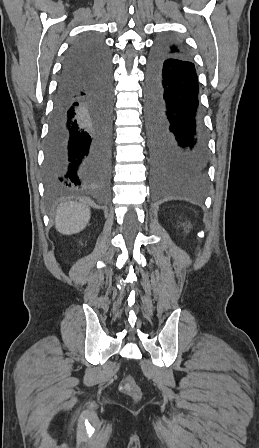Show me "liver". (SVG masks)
I'll return each mask as SVG.
<instances>
[{
  "label": "liver",
  "mask_w": 259,
  "mask_h": 448,
  "mask_svg": "<svg viewBox=\"0 0 259 448\" xmlns=\"http://www.w3.org/2000/svg\"><path fill=\"white\" fill-rule=\"evenodd\" d=\"M90 210L88 206H81L76 202H69L64 204L57 210L56 216V230L61 234H78L84 230L90 220Z\"/></svg>",
  "instance_id": "1"
}]
</instances>
